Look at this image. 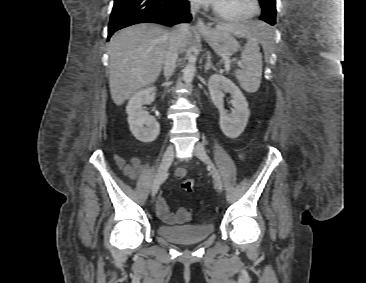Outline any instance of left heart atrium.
I'll return each instance as SVG.
<instances>
[{
  "label": "left heart atrium",
  "mask_w": 366,
  "mask_h": 283,
  "mask_svg": "<svg viewBox=\"0 0 366 283\" xmlns=\"http://www.w3.org/2000/svg\"><path fill=\"white\" fill-rule=\"evenodd\" d=\"M192 1L200 4H213V5H215L218 2V0H192Z\"/></svg>",
  "instance_id": "39dd6f15"
}]
</instances>
